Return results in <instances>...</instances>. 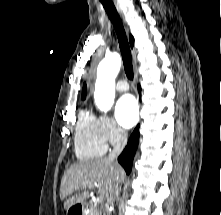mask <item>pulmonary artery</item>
Masks as SVG:
<instances>
[{
  "instance_id": "pulmonary-artery-1",
  "label": "pulmonary artery",
  "mask_w": 221,
  "mask_h": 215,
  "mask_svg": "<svg viewBox=\"0 0 221 215\" xmlns=\"http://www.w3.org/2000/svg\"><path fill=\"white\" fill-rule=\"evenodd\" d=\"M116 89L119 91V92H125L129 89V85L127 83L126 80L122 79V80H119L117 83H116Z\"/></svg>"
}]
</instances>
